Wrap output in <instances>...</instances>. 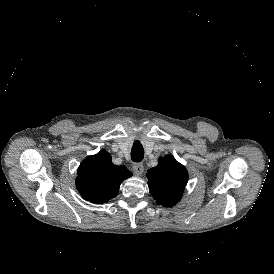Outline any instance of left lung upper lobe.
<instances>
[{
  "mask_svg": "<svg viewBox=\"0 0 274 274\" xmlns=\"http://www.w3.org/2000/svg\"><path fill=\"white\" fill-rule=\"evenodd\" d=\"M148 186L153 198L165 207L174 206L182 197L188 173L172 155L159 159L156 167L147 172Z\"/></svg>",
  "mask_w": 274,
  "mask_h": 274,
  "instance_id": "1",
  "label": "left lung upper lobe"
}]
</instances>
